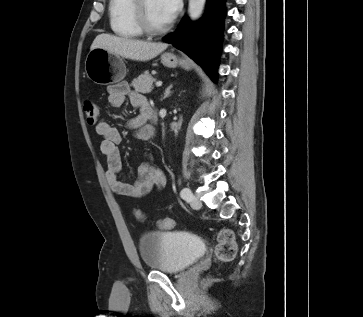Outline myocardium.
<instances>
[{
    "mask_svg": "<svg viewBox=\"0 0 363 317\" xmlns=\"http://www.w3.org/2000/svg\"><path fill=\"white\" fill-rule=\"evenodd\" d=\"M145 4L146 0H133V19L137 27L142 31V33L150 36H157L167 32L170 28V24H166L163 27H153L149 23L146 16Z\"/></svg>",
    "mask_w": 363,
    "mask_h": 317,
    "instance_id": "obj_1",
    "label": "myocardium"
}]
</instances>
